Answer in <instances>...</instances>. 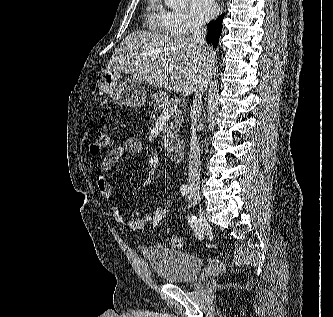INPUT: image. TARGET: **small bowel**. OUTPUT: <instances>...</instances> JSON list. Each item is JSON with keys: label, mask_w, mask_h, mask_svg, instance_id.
Instances as JSON below:
<instances>
[{"label": "small bowel", "mask_w": 333, "mask_h": 317, "mask_svg": "<svg viewBox=\"0 0 333 317\" xmlns=\"http://www.w3.org/2000/svg\"><path fill=\"white\" fill-rule=\"evenodd\" d=\"M143 150V144L140 139L136 137H129L125 142L109 151L102 159L97 177V188L108 205L113 219L121 226L132 230L138 231L143 229L147 224L152 221V214H145L139 219L126 217L118 207L112 186L109 182L108 175L112 169L126 156L138 155Z\"/></svg>", "instance_id": "c3829d8e"}]
</instances>
